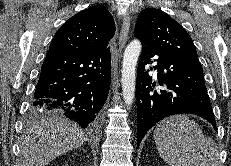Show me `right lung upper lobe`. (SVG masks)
Masks as SVG:
<instances>
[{"label":"right lung upper lobe","mask_w":231,"mask_h":166,"mask_svg":"<svg viewBox=\"0 0 231 166\" xmlns=\"http://www.w3.org/2000/svg\"><path fill=\"white\" fill-rule=\"evenodd\" d=\"M115 33L112 15L103 6L78 12L56 32L49 50L87 54L104 51Z\"/></svg>","instance_id":"1"}]
</instances>
